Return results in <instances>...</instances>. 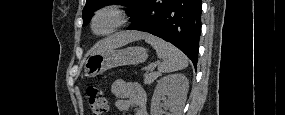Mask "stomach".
I'll return each instance as SVG.
<instances>
[{
  "mask_svg": "<svg viewBox=\"0 0 285 115\" xmlns=\"http://www.w3.org/2000/svg\"><path fill=\"white\" fill-rule=\"evenodd\" d=\"M147 57V50L140 46L93 53L85 61L84 72L88 77H95L114 67L143 63Z\"/></svg>",
  "mask_w": 285,
  "mask_h": 115,
  "instance_id": "stomach-1",
  "label": "stomach"
}]
</instances>
